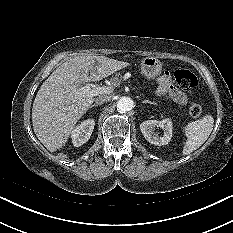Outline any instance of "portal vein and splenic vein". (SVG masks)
<instances>
[{
    "instance_id": "18ae733b",
    "label": "portal vein and splenic vein",
    "mask_w": 233,
    "mask_h": 233,
    "mask_svg": "<svg viewBox=\"0 0 233 233\" xmlns=\"http://www.w3.org/2000/svg\"><path fill=\"white\" fill-rule=\"evenodd\" d=\"M113 91L112 86H102V87H91L90 85H85L79 89V93L84 96H97L102 94H110Z\"/></svg>"
}]
</instances>
